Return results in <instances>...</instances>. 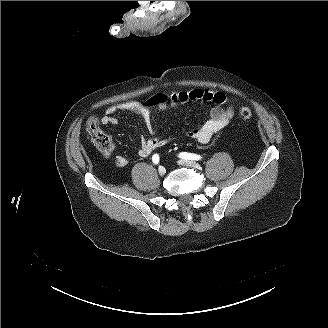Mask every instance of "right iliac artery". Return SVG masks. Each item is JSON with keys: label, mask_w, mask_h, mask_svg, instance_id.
<instances>
[{"label": "right iliac artery", "mask_w": 328, "mask_h": 328, "mask_svg": "<svg viewBox=\"0 0 328 328\" xmlns=\"http://www.w3.org/2000/svg\"><path fill=\"white\" fill-rule=\"evenodd\" d=\"M152 161L154 164H158L159 163V155L158 154H154L152 157Z\"/></svg>", "instance_id": "obj_1"}]
</instances>
